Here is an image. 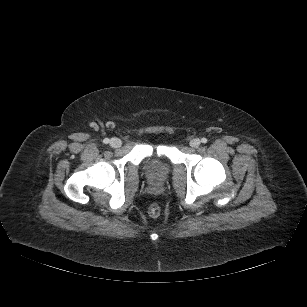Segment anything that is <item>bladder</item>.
Here are the masks:
<instances>
[{
    "label": "bladder",
    "mask_w": 307,
    "mask_h": 307,
    "mask_svg": "<svg viewBox=\"0 0 307 307\" xmlns=\"http://www.w3.org/2000/svg\"><path fill=\"white\" fill-rule=\"evenodd\" d=\"M144 170L151 181L159 182L169 175L170 165L164 158L151 156L145 161Z\"/></svg>",
    "instance_id": "bladder-1"
}]
</instances>
